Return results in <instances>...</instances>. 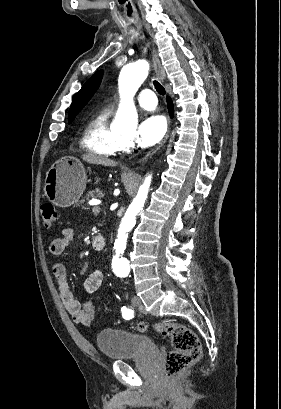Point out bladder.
Returning <instances> with one entry per match:
<instances>
[{
	"label": "bladder",
	"mask_w": 281,
	"mask_h": 409,
	"mask_svg": "<svg viewBox=\"0 0 281 409\" xmlns=\"http://www.w3.org/2000/svg\"><path fill=\"white\" fill-rule=\"evenodd\" d=\"M94 345L108 361L125 362L132 355H157V343L146 333L109 327L94 334Z\"/></svg>",
	"instance_id": "31cf9c89"
}]
</instances>
